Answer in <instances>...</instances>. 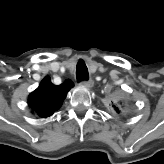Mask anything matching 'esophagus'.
Masks as SVG:
<instances>
[{
    "label": "esophagus",
    "mask_w": 164,
    "mask_h": 164,
    "mask_svg": "<svg viewBox=\"0 0 164 164\" xmlns=\"http://www.w3.org/2000/svg\"><path fill=\"white\" fill-rule=\"evenodd\" d=\"M80 84L86 88H91L94 85V81L92 79H89V80L82 81Z\"/></svg>",
    "instance_id": "34e87169"
}]
</instances>
